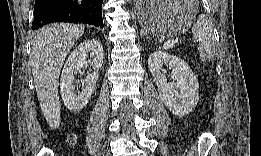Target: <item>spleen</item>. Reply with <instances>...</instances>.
Returning a JSON list of instances; mask_svg holds the SVG:
<instances>
[{
  "label": "spleen",
  "instance_id": "3e777b00",
  "mask_svg": "<svg viewBox=\"0 0 261 156\" xmlns=\"http://www.w3.org/2000/svg\"><path fill=\"white\" fill-rule=\"evenodd\" d=\"M192 33L200 43L198 51L201 60H210L215 54V38L212 25L205 15H199L192 27Z\"/></svg>",
  "mask_w": 261,
  "mask_h": 156
}]
</instances>
